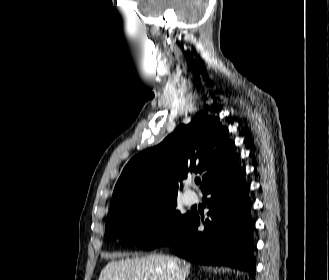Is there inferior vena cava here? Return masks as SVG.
Returning <instances> with one entry per match:
<instances>
[{
  "mask_svg": "<svg viewBox=\"0 0 329 280\" xmlns=\"http://www.w3.org/2000/svg\"><path fill=\"white\" fill-rule=\"evenodd\" d=\"M170 263L174 266L175 268V275L177 280H184L182 275L179 272V268L173 263V261H170Z\"/></svg>",
  "mask_w": 329,
  "mask_h": 280,
  "instance_id": "1",
  "label": "inferior vena cava"
}]
</instances>
